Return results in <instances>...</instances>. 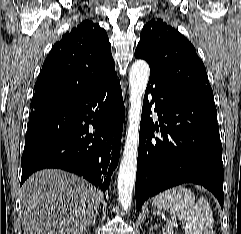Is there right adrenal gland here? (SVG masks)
<instances>
[{
	"label": "right adrenal gland",
	"instance_id": "obj_1",
	"mask_svg": "<svg viewBox=\"0 0 241 234\" xmlns=\"http://www.w3.org/2000/svg\"><path fill=\"white\" fill-rule=\"evenodd\" d=\"M95 222H96V217L94 218V220H93V222H92V226H94L95 225Z\"/></svg>",
	"mask_w": 241,
	"mask_h": 234
}]
</instances>
